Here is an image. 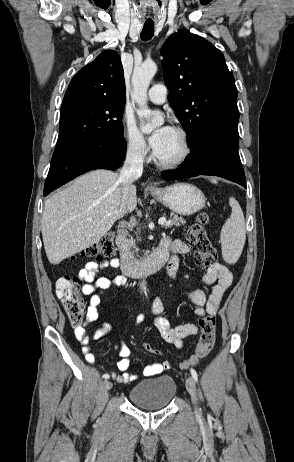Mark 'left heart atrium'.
Masks as SVG:
<instances>
[{
	"label": "left heart atrium",
	"mask_w": 294,
	"mask_h": 462,
	"mask_svg": "<svg viewBox=\"0 0 294 462\" xmlns=\"http://www.w3.org/2000/svg\"><path fill=\"white\" fill-rule=\"evenodd\" d=\"M172 131L173 128L171 126L163 125L162 127L155 130L154 133L150 136L149 142L156 154L161 150L165 140Z\"/></svg>",
	"instance_id": "39dd6f15"
}]
</instances>
